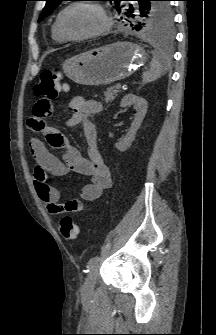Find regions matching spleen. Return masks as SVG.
Returning <instances> with one entry per match:
<instances>
[{
    "label": "spleen",
    "instance_id": "obj_1",
    "mask_svg": "<svg viewBox=\"0 0 216 335\" xmlns=\"http://www.w3.org/2000/svg\"><path fill=\"white\" fill-rule=\"evenodd\" d=\"M154 48L150 69L149 71L144 72L142 76L143 83H149L158 79L165 74L170 67V63L163 51L155 44Z\"/></svg>",
    "mask_w": 216,
    "mask_h": 335
}]
</instances>
